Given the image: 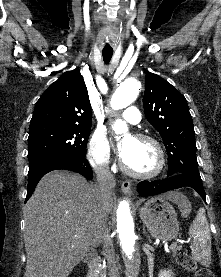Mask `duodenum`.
<instances>
[{"label":"duodenum","instance_id":"duodenum-1","mask_svg":"<svg viewBox=\"0 0 221 277\" xmlns=\"http://www.w3.org/2000/svg\"><path fill=\"white\" fill-rule=\"evenodd\" d=\"M99 266L100 257L98 255H95L87 263L85 277H96Z\"/></svg>","mask_w":221,"mask_h":277}]
</instances>
